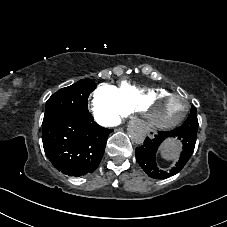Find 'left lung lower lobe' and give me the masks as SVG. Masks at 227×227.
Here are the masks:
<instances>
[{"mask_svg":"<svg viewBox=\"0 0 227 227\" xmlns=\"http://www.w3.org/2000/svg\"><path fill=\"white\" fill-rule=\"evenodd\" d=\"M168 137H178L182 141L183 150L179 161L169 170L157 167L155 157L160 144ZM197 132L178 127L172 131H161L155 138H146L141 147L136 148L135 156L141 168L154 179H166L180 172L193 154Z\"/></svg>","mask_w":227,"mask_h":227,"instance_id":"1","label":"left lung lower lobe"}]
</instances>
